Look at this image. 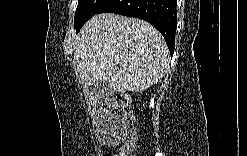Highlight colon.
<instances>
[{
	"label": "colon",
	"mask_w": 247,
	"mask_h": 156,
	"mask_svg": "<svg viewBox=\"0 0 247 156\" xmlns=\"http://www.w3.org/2000/svg\"><path fill=\"white\" fill-rule=\"evenodd\" d=\"M117 101L119 104V110L114 115L115 123L119 121H123V123L127 124L130 128V132L128 137L125 139L123 144L118 148L115 156H130L133 154L136 147L137 140V128L136 122L133 115L130 113H126L122 118V112H127L131 109V99L127 94H120L117 96Z\"/></svg>",
	"instance_id": "5ec220e1"
}]
</instances>
